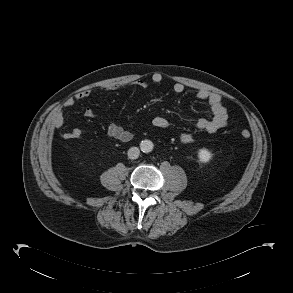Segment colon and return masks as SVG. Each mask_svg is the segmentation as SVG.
<instances>
[{
    "instance_id": "1",
    "label": "colon",
    "mask_w": 293,
    "mask_h": 293,
    "mask_svg": "<svg viewBox=\"0 0 293 293\" xmlns=\"http://www.w3.org/2000/svg\"><path fill=\"white\" fill-rule=\"evenodd\" d=\"M241 136H242L243 139H248V138H250L251 133H250V131H248V130L245 129V130H243L241 132Z\"/></svg>"
}]
</instances>
